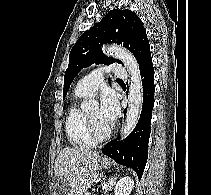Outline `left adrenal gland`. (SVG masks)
Returning <instances> with one entry per match:
<instances>
[{"mask_svg":"<svg viewBox=\"0 0 211 195\" xmlns=\"http://www.w3.org/2000/svg\"><path fill=\"white\" fill-rule=\"evenodd\" d=\"M117 175L113 174L106 182H104L105 193H108L116 182Z\"/></svg>","mask_w":211,"mask_h":195,"instance_id":"left-adrenal-gland-1","label":"left adrenal gland"}]
</instances>
